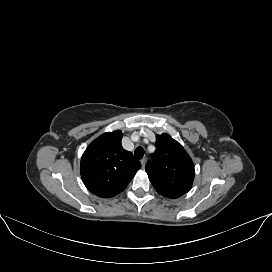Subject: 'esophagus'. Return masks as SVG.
I'll return each instance as SVG.
<instances>
[{
	"mask_svg": "<svg viewBox=\"0 0 272 272\" xmlns=\"http://www.w3.org/2000/svg\"><path fill=\"white\" fill-rule=\"evenodd\" d=\"M146 161H147V158L145 157L141 159V164L143 168L145 167Z\"/></svg>",
	"mask_w": 272,
	"mask_h": 272,
	"instance_id": "1",
	"label": "esophagus"
}]
</instances>
